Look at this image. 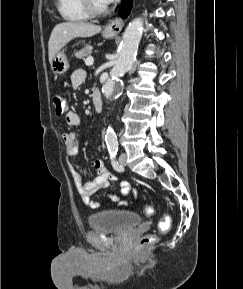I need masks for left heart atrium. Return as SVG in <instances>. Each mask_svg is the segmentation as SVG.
<instances>
[{"mask_svg":"<svg viewBox=\"0 0 243 289\" xmlns=\"http://www.w3.org/2000/svg\"><path fill=\"white\" fill-rule=\"evenodd\" d=\"M114 0H101V2L104 4V5H109L113 2Z\"/></svg>","mask_w":243,"mask_h":289,"instance_id":"left-heart-atrium-1","label":"left heart atrium"}]
</instances>
